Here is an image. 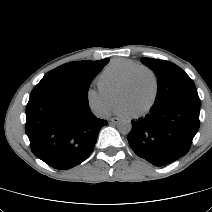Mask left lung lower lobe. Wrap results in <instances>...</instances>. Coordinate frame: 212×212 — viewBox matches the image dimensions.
I'll list each match as a JSON object with an SVG mask.
<instances>
[{
	"label": "left lung lower lobe",
	"mask_w": 212,
	"mask_h": 212,
	"mask_svg": "<svg viewBox=\"0 0 212 212\" xmlns=\"http://www.w3.org/2000/svg\"><path fill=\"white\" fill-rule=\"evenodd\" d=\"M199 107L184 101L154 104L145 118L132 122L130 147L155 166L179 159L189 151L199 129Z\"/></svg>",
	"instance_id": "obj_1"
}]
</instances>
